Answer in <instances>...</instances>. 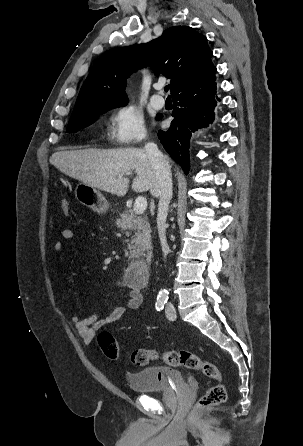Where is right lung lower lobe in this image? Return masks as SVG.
I'll use <instances>...</instances> for the list:
<instances>
[{"instance_id":"1","label":"right lung lower lobe","mask_w":303,"mask_h":446,"mask_svg":"<svg viewBox=\"0 0 303 446\" xmlns=\"http://www.w3.org/2000/svg\"><path fill=\"white\" fill-rule=\"evenodd\" d=\"M215 75L207 80L182 88L172 94L174 120L168 130L158 132L165 150L182 167L189 170V140L192 132L209 125L214 120V108L220 99L217 96ZM161 115H158V119Z\"/></svg>"}]
</instances>
